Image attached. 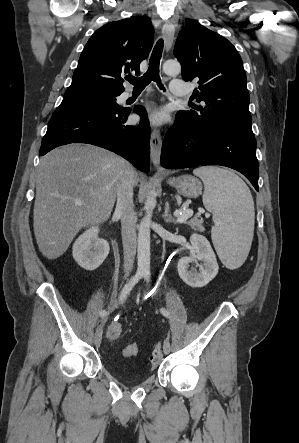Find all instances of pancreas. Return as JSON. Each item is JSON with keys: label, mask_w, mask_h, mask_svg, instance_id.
Listing matches in <instances>:
<instances>
[{"label": "pancreas", "mask_w": 299, "mask_h": 443, "mask_svg": "<svg viewBox=\"0 0 299 443\" xmlns=\"http://www.w3.org/2000/svg\"><path fill=\"white\" fill-rule=\"evenodd\" d=\"M187 225L191 226L194 230L203 231L204 228L202 226L203 220L199 218H192L191 220L186 222Z\"/></svg>", "instance_id": "pancreas-1"}]
</instances>
